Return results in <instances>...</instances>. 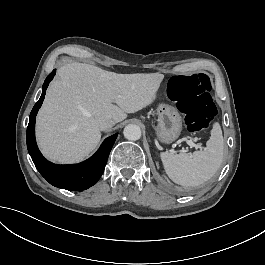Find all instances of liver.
I'll use <instances>...</instances> for the list:
<instances>
[{"instance_id":"obj_1","label":"liver","mask_w":265,"mask_h":265,"mask_svg":"<svg viewBox=\"0 0 265 265\" xmlns=\"http://www.w3.org/2000/svg\"><path fill=\"white\" fill-rule=\"evenodd\" d=\"M163 79L159 73L121 75L88 64L63 65L37 118L43 154L58 162L81 160L101 139L99 117L120 122L153 105Z\"/></svg>"}]
</instances>
